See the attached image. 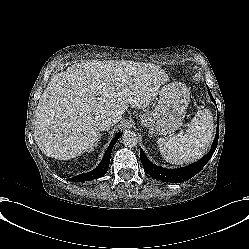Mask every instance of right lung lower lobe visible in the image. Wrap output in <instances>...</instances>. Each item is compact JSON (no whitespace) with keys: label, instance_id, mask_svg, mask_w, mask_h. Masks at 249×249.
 Listing matches in <instances>:
<instances>
[{"label":"right lung lower lobe","instance_id":"98d812e1","mask_svg":"<svg viewBox=\"0 0 249 249\" xmlns=\"http://www.w3.org/2000/svg\"><path fill=\"white\" fill-rule=\"evenodd\" d=\"M121 135H122V133L116 134L114 139L110 142V145L107 148L101 163L94 170H92L88 173L78 175V176L74 177L73 180L77 181V182L90 181V180L97 179V178L104 176L108 170V167H109L112 148Z\"/></svg>","mask_w":249,"mask_h":249}]
</instances>
